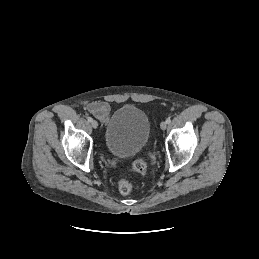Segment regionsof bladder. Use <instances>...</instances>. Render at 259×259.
I'll list each match as a JSON object with an SVG mask.
<instances>
[{
    "mask_svg": "<svg viewBox=\"0 0 259 259\" xmlns=\"http://www.w3.org/2000/svg\"><path fill=\"white\" fill-rule=\"evenodd\" d=\"M150 134L151 125L146 113L134 105H124L109 119L104 144L111 154L126 159L145 148Z\"/></svg>",
    "mask_w": 259,
    "mask_h": 259,
    "instance_id": "bladder-1",
    "label": "bladder"
}]
</instances>
